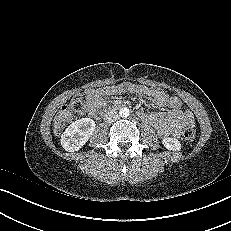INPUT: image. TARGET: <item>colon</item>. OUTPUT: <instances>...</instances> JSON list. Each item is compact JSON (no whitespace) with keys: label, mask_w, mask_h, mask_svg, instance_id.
<instances>
[{"label":"colon","mask_w":231,"mask_h":231,"mask_svg":"<svg viewBox=\"0 0 231 231\" xmlns=\"http://www.w3.org/2000/svg\"><path fill=\"white\" fill-rule=\"evenodd\" d=\"M169 103L171 107L180 109L182 106V100L178 96L169 97ZM86 103L81 95L74 96L67 106L61 108L56 115L53 127L56 134H60L67 122L71 119L73 114H81L85 111ZM196 132L193 127L188 126L182 131V136L186 141H192L195 138Z\"/></svg>","instance_id":"colon-1"}]
</instances>
